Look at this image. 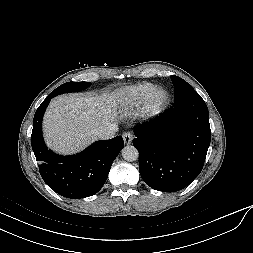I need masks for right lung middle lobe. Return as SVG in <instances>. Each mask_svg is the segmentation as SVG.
<instances>
[{
	"mask_svg": "<svg viewBox=\"0 0 253 253\" xmlns=\"http://www.w3.org/2000/svg\"><path fill=\"white\" fill-rule=\"evenodd\" d=\"M90 82H67L57 87L52 93L60 95L63 93L77 92L87 88Z\"/></svg>",
	"mask_w": 253,
	"mask_h": 253,
	"instance_id": "dd1d6c3e",
	"label": "right lung middle lobe"
}]
</instances>
